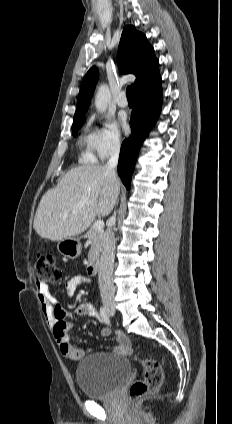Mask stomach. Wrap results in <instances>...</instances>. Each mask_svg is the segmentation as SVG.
<instances>
[{
    "mask_svg": "<svg viewBox=\"0 0 232 424\" xmlns=\"http://www.w3.org/2000/svg\"><path fill=\"white\" fill-rule=\"evenodd\" d=\"M57 249L64 257L69 259L77 258L82 251V246L79 237H69L60 240Z\"/></svg>",
    "mask_w": 232,
    "mask_h": 424,
    "instance_id": "obj_1",
    "label": "stomach"
}]
</instances>
